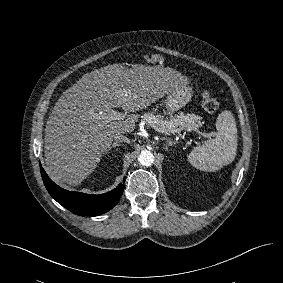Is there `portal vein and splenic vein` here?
<instances>
[{
    "instance_id": "portal-vein-and-splenic-vein-1",
    "label": "portal vein and splenic vein",
    "mask_w": 283,
    "mask_h": 283,
    "mask_svg": "<svg viewBox=\"0 0 283 283\" xmlns=\"http://www.w3.org/2000/svg\"><path fill=\"white\" fill-rule=\"evenodd\" d=\"M99 117L109 120H123L125 116L118 111H112L110 113H101ZM174 133H180V130L173 131L172 134Z\"/></svg>"
}]
</instances>
